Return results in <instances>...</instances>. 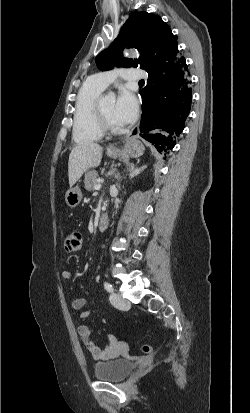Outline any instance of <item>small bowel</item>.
Masks as SVG:
<instances>
[{"label":"small bowel","instance_id":"small-bowel-1","mask_svg":"<svg viewBox=\"0 0 250 413\" xmlns=\"http://www.w3.org/2000/svg\"><path fill=\"white\" fill-rule=\"evenodd\" d=\"M74 276V273L71 269H65L62 272V277L66 280H71ZM86 299L85 298H75L71 302V307L75 310H81L79 313V318L80 319H86L89 316V312L87 310H83V308L86 306ZM78 334L89 351V353L92 355V357L95 360H100V361H108L115 359L119 356L121 352V343L117 337L114 335L109 336V345L101 349L98 345H96L92 339V332L90 328L87 325H81L78 327Z\"/></svg>","mask_w":250,"mask_h":413}]
</instances>
